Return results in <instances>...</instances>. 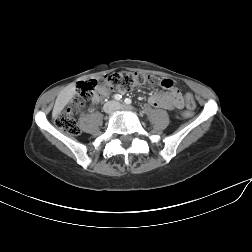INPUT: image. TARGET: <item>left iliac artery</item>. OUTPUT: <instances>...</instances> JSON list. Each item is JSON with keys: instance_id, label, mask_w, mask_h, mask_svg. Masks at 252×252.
<instances>
[{"instance_id": "1", "label": "left iliac artery", "mask_w": 252, "mask_h": 252, "mask_svg": "<svg viewBox=\"0 0 252 252\" xmlns=\"http://www.w3.org/2000/svg\"><path fill=\"white\" fill-rule=\"evenodd\" d=\"M124 102H125L127 105H130L131 102H132V100H131L130 98H126V99L124 100Z\"/></svg>"}]
</instances>
